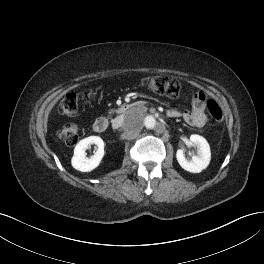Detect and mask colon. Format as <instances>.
I'll return each instance as SVG.
<instances>
[{
    "mask_svg": "<svg viewBox=\"0 0 264 264\" xmlns=\"http://www.w3.org/2000/svg\"><path fill=\"white\" fill-rule=\"evenodd\" d=\"M142 85L148 89L169 97H179L181 95V86L166 77H148L142 80ZM95 96L94 91L82 93H68L59 104V111L63 115L74 116L78 113L82 103L89 102ZM207 110L216 123L223 120V111L219 104L210 99L207 101ZM59 140L66 145H75L79 140V128L75 123L65 124L57 133Z\"/></svg>",
    "mask_w": 264,
    "mask_h": 264,
    "instance_id": "5ec220e1",
    "label": "colon"
}]
</instances>
